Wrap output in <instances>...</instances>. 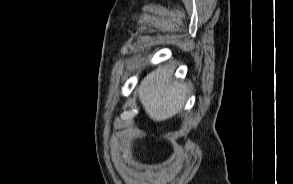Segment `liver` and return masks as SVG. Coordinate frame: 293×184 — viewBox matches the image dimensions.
<instances>
[{"mask_svg": "<svg viewBox=\"0 0 293 184\" xmlns=\"http://www.w3.org/2000/svg\"><path fill=\"white\" fill-rule=\"evenodd\" d=\"M173 72V66H160L142 80L137 90L144 110L155 122L178 114L186 101V85L174 80Z\"/></svg>", "mask_w": 293, "mask_h": 184, "instance_id": "obj_1", "label": "liver"}]
</instances>
